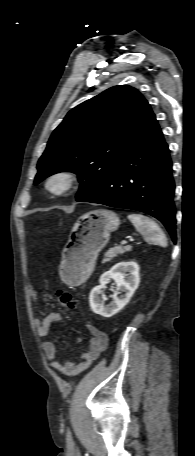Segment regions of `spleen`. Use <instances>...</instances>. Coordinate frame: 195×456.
<instances>
[{"label":"spleen","instance_id":"3e777b00","mask_svg":"<svg viewBox=\"0 0 195 456\" xmlns=\"http://www.w3.org/2000/svg\"><path fill=\"white\" fill-rule=\"evenodd\" d=\"M128 219L136 230L144 236L146 241L157 243L162 247L167 246V239L159 225L151 218L142 214H129Z\"/></svg>","mask_w":195,"mask_h":456}]
</instances>
